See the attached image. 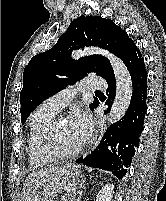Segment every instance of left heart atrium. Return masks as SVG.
Returning a JSON list of instances; mask_svg holds the SVG:
<instances>
[{
    "label": "left heart atrium",
    "instance_id": "1",
    "mask_svg": "<svg viewBox=\"0 0 166 201\" xmlns=\"http://www.w3.org/2000/svg\"><path fill=\"white\" fill-rule=\"evenodd\" d=\"M69 124L75 131L80 145L84 144L92 130V119L89 113L83 110H75L70 116Z\"/></svg>",
    "mask_w": 166,
    "mask_h": 201
}]
</instances>
